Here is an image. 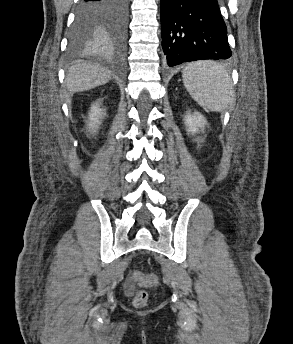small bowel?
Returning a JSON list of instances; mask_svg holds the SVG:
<instances>
[{"instance_id":"c3829d8e","label":"small bowel","mask_w":293,"mask_h":344,"mask_svg":"<svg viewBox=\"0 0 293 344\" xmlns=\"http://www.w3.org/2000/svg\"><path fill=\"white\" fill-rule=\"evenodd\" d=\"M134 289H135V285L129 279L128 282L126 283L125 291L128 295H131L134 292Z\"/></svg>"}]
</instances>
